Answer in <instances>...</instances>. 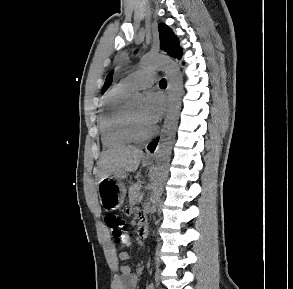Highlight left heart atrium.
I'll return each instance as SVG.
<instances>
[{
  "label": "left heart atrium",
  "instance_id": "1",
  "mask_svg": "<svg viewBox=\"0 0 293 289\" xmlns=\"http://www.w3.org/2000/svg\"><path fill=\"white\" fill-rule=\"evenodd\" d=\"M165 99L159 93H148L143 108V119L150 125L154 126L162 117L165 111Z\"/></svg>",
  "mask_w": 293,
  "mask_h": 289
}]
</instances>
